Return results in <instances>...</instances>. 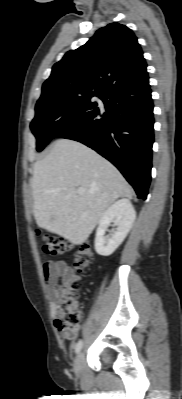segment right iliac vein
Here are the masks:
<instances>
[{"label":"right iliac vein","mask_w":182,"mask_h":399,"mask_svg":"<svg viewBox=\"0 0 182 399\" xmlns=\"http://www.w3.org/2000/svg\"><path fill=\"white\" fill-rule=\"evenodd\" d=\"M85 356L83 352H79L74 361V372L76 375H80L84 366Z\"/></svg>","instance_id":"63e3f726"}]
</instances>
